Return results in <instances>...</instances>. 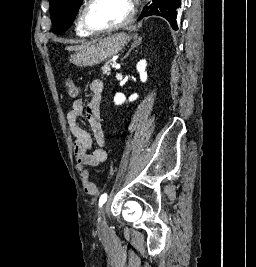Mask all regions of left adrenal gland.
Here are the masks:
<instances>
[{
  "mask_svg": "<svg viewBox=\"0 0 256 267\" xmlns=\"http://www.w3.org/2000/svg\"><path fill=\"white\" fill-rule=\"evenodd\" d=\"M133 40H134V42H133V44H131V48H130L129 52H127L126 56H124V58H127V56H129L130 52H132V50H134V48H137V46H140V44L142 42V38H140V36H138V34H135ZM124 58H122V60H124Z\"/></svg>",
  "mask_w": 256,
  "mask_h": 267,
  "instance_id": "a2214340",
  "label": "left adrenal gland"
}]
</instances>
